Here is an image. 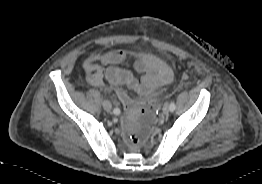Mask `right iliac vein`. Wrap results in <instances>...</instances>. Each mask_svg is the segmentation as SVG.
Segmentation results:
<instances>
[{
    "label": "right iliac vein",
    "mask_w": 262,
    "mask_h": 184,
    "mask_svg": "<svg viewBox=\"0 0 262 184\" xmlns=\"http://www.w3.org/2000/svg\"><path fill=\"white\" fill-rule=\"evenodd\" d=\"M102 106H103L104 110H106V111H110L112 109V105L108 100H104L102 102Z\"/></svg>",
    "instance_id": "1"
}]
</instances>
